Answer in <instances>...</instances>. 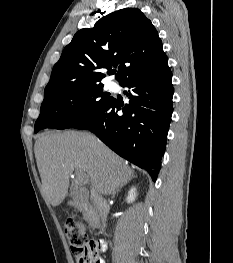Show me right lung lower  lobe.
<instances>
[{
  "instance_id": "right-lung-lower-lobe-1",
  "label": "right lung lower lobe",
  "mask_w": 233,
  "mask_h": 263,
  "mask_svg": "<svg viewBox=\"0 0 233 263\" xmlns=\"http://www.w3.org/2000/svg\"><path fill=\"white\" fill-rule=\"evenodd\" d=\"M172 74L161 71L128 78L129 104L112 98L89 118L74 126L89 129L121 157L148 171L155 181L165 152L173 111ZM121 110L123 114H117Z\"/></svg>"
}]
</instances>
